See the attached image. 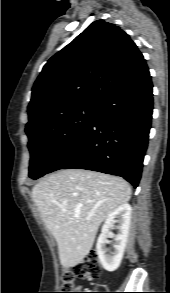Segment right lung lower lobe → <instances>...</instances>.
I'll use <instances>...</instances> for the list:
<instances>
[{"label": "right lung lower lobe", "instance_id": "1", "mask_svg": "<svg viewBox=\"0 0 170 293\" xmlns=\"http://www.w3.org/2000/svg\"><path fill=\"white\" fill-rule=\"evenodd\" d=\"M149 71L106 97L94 121L51 165L121 176L134 187L141 178L153 111Z\"/></svg>", "mask_w": 170, "mask_h": 293}]
</instances>
